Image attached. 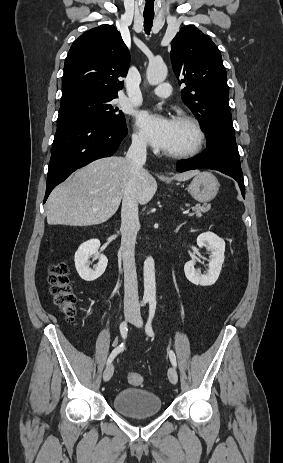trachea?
Instances as JSON below:
<instances>
[{
    "mask_svg": "<svg viewBox=\"0 0 283 463\" xmlns=\"http://www.w3.org/2000/svg\"><path fill=\"white\" fill-rule=\"evenodd\" d=\"M154 15H147L144 14V30L146 34L149 35L151 28H152V23H153Z\"/></svg>",
    "mask_w": 283,
    "mask_h": 463,
    "instance_id": "1",
    "label": "trachea"
}]
</instances>
